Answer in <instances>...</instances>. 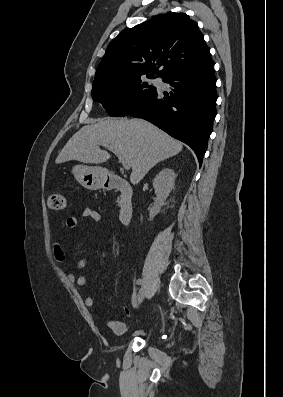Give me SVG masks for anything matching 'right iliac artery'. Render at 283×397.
Here are the masks:
<instances>
[{
	"label": "right iliac artery",
	"instance_id": "obj_1",
	"mask_svg": "<svg viewBox=\"0 0 283 397\" xmlns=\"http://www.w3.org/2000/svg\"><path fill=\"white\" fill-rule=\"evenodd\" d=\"M136 283H137L138 285H140V284L142 283V280H141V279H138V280L136 281Z\"/></svg>",
	"mask_w": 283,
	"mask_h": 397
}]
</instances>
